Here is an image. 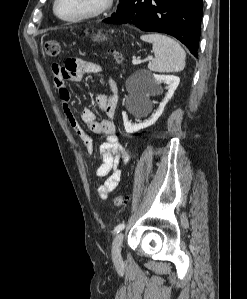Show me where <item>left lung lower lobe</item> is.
Here are the masks:
<instances>
[{
  "label": "left lung lower lobe",
  "instance_id": "1",
  "mask_svg": "<svg viewBox=\"0 0 247 299\" xmlns=\"http://www.w3.org/2000/svg\"><path fill=\"white\" fill-rule=\"evenodd\" d=\"M202 13V0H130L103 22L125 24L132 18L143 31L174 36L197 57Z\"/></svg>",
  "mask_w": 247,
  "mask_h": 299
}]
</instances>
